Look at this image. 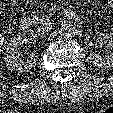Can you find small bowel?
<instances>
[{
  "label": "small bowel",
  "mask_w": 113,
  "mask_h": 113,
  "mask_svg": "<svg viewBox=\"0 0 113 113\" xmlns=\"http://www.w3.org/2000/svg\"><path fill=\"white\" fill-rule=\"evenodd\" d=\"M108 3L112 6L113 8V0H108Z\"/></svg>",
  "instance_id": "obj_1"
}]
</instances>
